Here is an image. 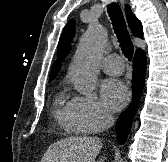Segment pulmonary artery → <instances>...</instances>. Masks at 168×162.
Returning a JSON list of instances; mask_svg holds the SVG:
<instances>
[{
    "instance_id": "pulmonary-artery-1",
    "label": "pulmonary artery",
    "mask_w": 168,
    "mask_h": 162,
    "mask_svg": "<svg viewBox=\"0 0 168 162\" xmlns=\"http://www.w3.org/2000/svg\"><path fill=\"white\" fill-rule=\"evenodd\" d=\"M101 67L107 74L119 75L124 70V63L119 55L110 54L103 59Z\"/></svg>"
}]
</instances>
